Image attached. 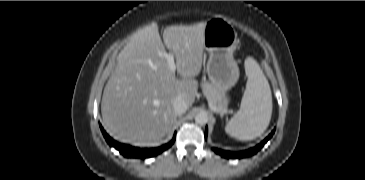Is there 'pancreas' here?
<instances>
[{"instance_id": "pancreas-1", "label": "pancreas", "mask_w": 365, "mask_h": 180, "mask_svg": "<svg viewBox=\"0 0 365 180\" xmlns=\"http://www.w3.org/2000/svg\"><path fill=\"white\" fill-rule=\"evenodd\" d=\"M202 89L205 97L207 98L208 102L216 109L223 110L224 104L222 102V95L220 91L215 88L209 82L202 83Z\"/></svg>"}]
</instances>
